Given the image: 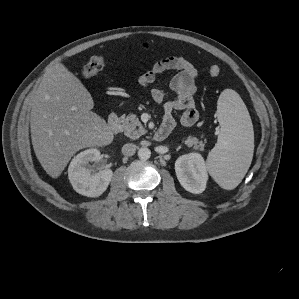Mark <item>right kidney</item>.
I'll list each match as a JSON object with an SVG mask.
<instances>
[{"mask_svg":"<svg viewBox=\"0 0 299 299\" xmlns=\"http://www.w3.org/2000/svg\"><path fill=\"white\" fill-rule=\"evenodd\" d=\"M99 159L100 151L96 148L82 151L72 159L68 168V178L77 193L87 197H98L107 189L113 176L112 170L104 169L94 173L89 165L90 162Z\"/></svg>","mask_w":299,"mask_h":299,"instance_id":"1","label":"right kidney"}]
</instances>
